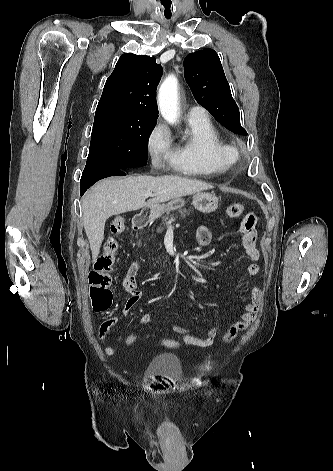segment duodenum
Listing matches in <instances>:
<instances>
[{"label": "duodenum", "instance_id": "obj_1", "mask_svg": "<svg viewBox=\"0 0 333 471\" xmlns=\"http://www.w3.org/2000/svg\"><path fill=\"white\" fill-rule=\"evenodd\" d=\"M148 221H149L148 210H143L142 212H140L134 217L132 221V228L134 230L142 229L144 226H146Z\"/></svg>", "mask_w": 333, "mask_h": 471}]
</instances>
